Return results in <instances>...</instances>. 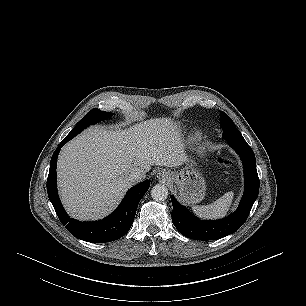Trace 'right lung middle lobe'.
<instances>
[{"label": "right lung middle lobe", "instance_id": "obj_1", "mask_svg": "<svg viewBox=\"0 0 306 306\" xmlns=\"http://www.w3.org/2000/svg\"><path fill=\"white\" fill-rule=\"evenodd\" d=\"M112 114L113 113L100 111L96 108L92 109L79 121V123L66 136V138L71 140L73 137H75L78 133H80L83 129L88 127L90 124H95L97 122H100L101 120L107 119Z\"/></svg>", "mask_w": 306, "mask_h": 306}]
</instances>
